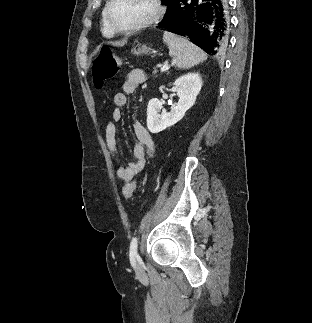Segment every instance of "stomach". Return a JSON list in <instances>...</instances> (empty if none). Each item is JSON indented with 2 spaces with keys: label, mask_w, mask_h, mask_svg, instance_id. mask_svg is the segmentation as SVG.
Wrapping results in <instances>:
<instances>
[{
  "label": "stomach",
  "mask_w": 312,
  "mask_h": 323,
  "mask_svg": "<svg viewBox=\"0 0 312 323\" xmlns=\"http://www.w3.org/2000/svg\"><path fill=\"white\" fill-rule=\"evenodd\" d=\"M150 50L151 48H148V46H141V48H137V50H134V54H137V56H142V54H148Z\"/></svg>",
  "instance_id": "1"
}]
</instances>
